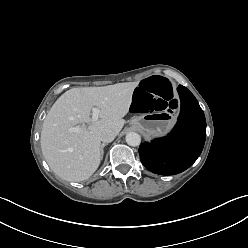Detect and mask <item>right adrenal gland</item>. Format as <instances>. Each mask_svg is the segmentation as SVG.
Here are the masks:
<instances>
[{"mask_svg": "<svg viewBox=\"0 0 248 248\" xmlns=\"http://www.w3.org/2000/svg\"><path fill=\"white\" fill-rule=\"evenodd\" d=\"M107 145V143H103L101 144V147H100V153H101V159L103 158V154H104V147Z\"/></svg>", "mask_w": 248, "mask_h": 248, "instance_id": "right-adrenal-gland-1", "label": "right adrenal gland"}]
</instances>
